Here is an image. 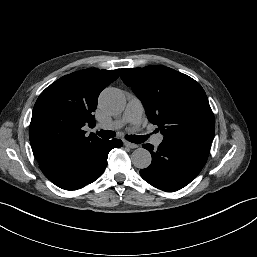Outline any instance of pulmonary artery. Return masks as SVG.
I'll list each match as a JSON object with an SVG mask.
<instances>
[{
	"mask_svg": "<svg viewBox=\"0 0 257 257\" xmlns=\"http://www.w3.org/2000/svg\"><path fill=\"white\" fill-rule=\"evenodd\" d=\"M143 112L144 108L141 101L138 98L133 97L128 101L124 113L119 120L103 124L101 127L106 129H118L125 124H131L135 129H139L142 122ZM163 138L162 134H157L153 136L152 143L154 145H160Z\"/></svg>",
	"mask_w": 257,
	"mask_h": 257,
	"instance_id": "obj_1",
	"label": "pulmonary artery"
}]
</instances>
